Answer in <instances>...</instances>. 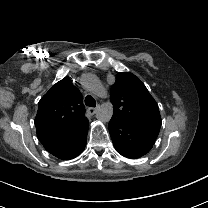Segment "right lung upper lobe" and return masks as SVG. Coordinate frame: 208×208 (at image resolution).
<instances>
[{"instance_id":"cb5924a9","label":"right lung upper lobe","mask_w":208,"mask_h":208,"mask_svg":"<svg viewBox=\"0 0 208 208\" xmlns=\"http://www.w3.org/2000/svg\"><path fill=\"white\" fill-rule=\"evenodd\" d=\"M84 113L81 93L70 78H63L53 85L38 103L34 122L38 138L75 129L87 121Z\"/></svg>"}]
</instances>
